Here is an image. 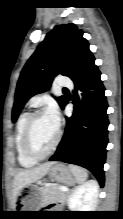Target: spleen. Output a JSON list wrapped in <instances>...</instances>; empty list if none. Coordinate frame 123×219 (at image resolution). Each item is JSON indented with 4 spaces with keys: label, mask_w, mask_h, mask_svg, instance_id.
<instances>
[{
    "label": "spleen",
    "mask_w": 123,
    "mask_h": 219,
    "mask_svg": "<svg viewBox=\"0 0 123 219\" xmlns=\"http://www.w3.org/2000/svg\"><path fill=\"white\" fill-rule=\"evenodd\" d=\"M69 168L79 184L83 183L88 178V173L85 169L75 165H70Z\"/></svg>",
    "instance_id": "obj_1"
}]
</instances>
